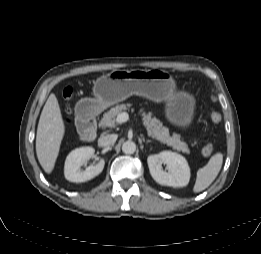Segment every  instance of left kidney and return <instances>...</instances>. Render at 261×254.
I'll return each instance as SVG.
<instances>
[{
  "label": "left kidney",
  "instance_id": "5707ae66",
  "mask_svg": "<svg viewBox=\"0 0 261 254\" xmlns=\"http://www.w3.org/2000/svg\"><path fill=\"white\" fill-rule=\"evenodd\" d=\"M150 174L160 185L184 187L190 180V168L186 159L175 152L163 151L147 158ZM166 164L168 172L162 169Z\"/></svg>",
  "mask_w": 261,
  "mask_h": 254
}]
</instances>
